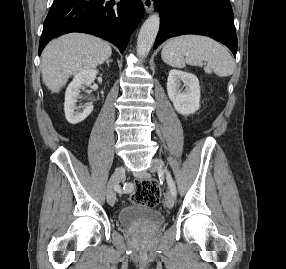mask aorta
<instances>
[{
	"label": "aorta",
	"mask_w": 286,
	"mask_h": 269,
	"mask_svg": "<svg viewBox=\"0 0 286 269\" xmlns=\"http://www.w3.org/2000/svg\"><path fill=\"white\" fill-rule=\"evenodd\" d=\"M160 18L157 13L152 14L142 25L137 39V55L146 57L154 44L155 38L159 31Z\"/></svg>",
	"instance_id": "762f6f07"
}]
</instances>
